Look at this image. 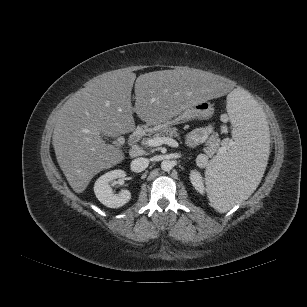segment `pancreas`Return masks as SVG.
<instances>
[{
	"label": "pancreas",
	"mask_w": 307,
	"mask_h": 307,
	"mask_svg": "<svg viewBox=\"0 0 307 307\" xmlns=\"http://www.w3.org/2000/svg\"><path fill=\"white\" fill-rule=\"evenodd\" d=\"M178 129L176 127H170V126H166L163 127L161 130L157 131L153 136H151V134H149V137L147 138H143L141 141V144L145 147H148V141L152 138L155 137H178ZM218 145L219 142L215 141V142H210L209 145L207 147L204 148V152L208 155V156H212L214 152L217 151L218 149Z\"/></svg>",
	"instance_id": "1"
}]
</instances>
